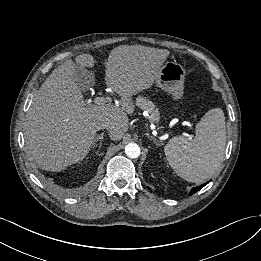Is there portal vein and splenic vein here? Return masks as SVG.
<instances>
[{"instance_id": "portal-vein-and-splenic-vein-1", "label": "portal vein and splenic vein", "mask_w": 261, "mask_h": 261, "mask_svg": "<svg viewBox=\"0 0 261 261\" xmlns=\"http://www.w3.org/2000/svg\"><path fill=\"white\" fill-rule=\"evenodd\" d=\"M95 103L98 105H104L106 103V99L104 97H97L95 99Z\"/></svg>"}]
</instances>
